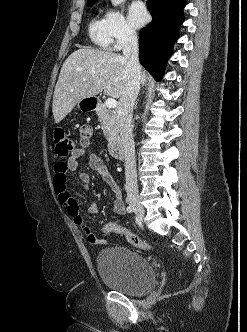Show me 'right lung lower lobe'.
Returning a JSON list of instances; mask_svg holds the SVG:
<instances>
[{
	"mask_svg": "<svg viewBox=\"0 0 247 332\" xmlns=\"http://www.w3.org/2000/svg\"><path fill=\"white\" fill-rule=\"evenodd\" d=\"M185 5V0L147 1L153 19L139 33V60L156 80L163 77L166 63L179 36Z\"/></svg>",
	"mask_w": 247,
	"mask_h": 332,
	"instance_id": "98d812e1",
	"label": "right lung lower lobe"
}]
</instances>
